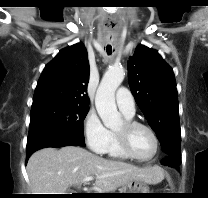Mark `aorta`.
<instances>
[{
	"label": "aorta",
	"instance_id": "obj_1",
	"mask_svg": "<svg viewBox=\"0 0 208 198\" xmlns=\"http://www.w3.org/2000/svg\"><path fill=\"white\" fill-rule=\"evenodd\" d=\"M125 71L122 67H111L104 74L95 97L97 112L107 128H114L121 123V114L115 103V91L122 83Z\"/></svg>",
	"mask_w": 208,
	"mask_h": 198
}]
</instances>
